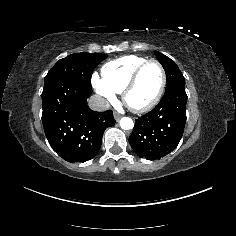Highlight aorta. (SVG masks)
Segmentation results:
<instances>
[{
  "label": "aorta",
  "mask_w": 236,
  "mask_h": 236,
  "mask_svg": "<svg viewBox=\"0 0 236 236\" xmlns=\"http://www.w3.org/2000/svg\"><path fill=\"white\" fill-rule=\"evenodd\" d=\"M119 124H120V127L124 130H130L134 127L133 120L129 117L121 118Z\"/></svg>",
  "instance_id": "obj_1"
}]
</instances>
